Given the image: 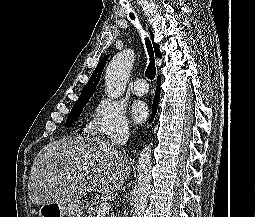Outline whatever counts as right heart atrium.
<instances>
[{"label": "right heart atrium", "instance_id": "1", "mask_svg": "<svg viewBox=\"0 0 255 217\" xmlns=\"http://www.w3.org/2000/svg\"><path fill=\"white\" fill-rule=\"evenodd\" d=\"M128 130L129 122L125 107L108 97H103L97 102L86 127L89 134L106 137L124 135Z\"/></svg>", "mask_w": 255, "mask_h": 217}]
</instances>
